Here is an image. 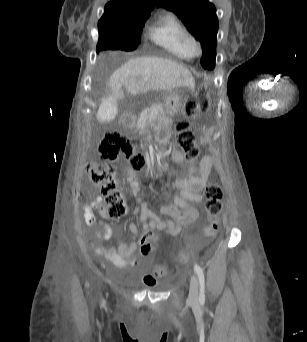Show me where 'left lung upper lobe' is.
I'll use <instances>...</instances> for the list:
<instances>
[{"label":"left lung upper lobe","instance_id":"left-lung-upper-lobe-1","mask_svg":"<svg viewBox=\"0 0 307 342\" xmlns=\"http://www.w3.org/2000/svg\"><path fill=\"white\" fill-rule=\"evenodd\" d=\"M157 6L173 11L201 42L205 69L215 67L218 18L215 6L207 0H157Z\"/></svg>","mask_w":307,"mask_h":342}]
</instances>
